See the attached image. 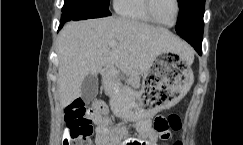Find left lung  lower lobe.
<instances>
[{
  "label": "left lung lower lobe",
  "instance_id": "left-lung-lower-lobe-1",
  "mask_svg": "<svg viewBox=\"0 0 243 145\" xmlns=\"http://www.w3.org/2000/svg\"><path fill=\"white\" fill-rule=\"evenodd\" d=\"M176 33L190 43L201 54L203 30L193 22H189L184 14L179 15L175 27Z\"/></svg>",
  "mask_w": 243,
  "mask_h": 145
}]
</instances>
